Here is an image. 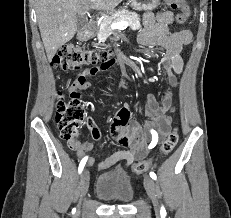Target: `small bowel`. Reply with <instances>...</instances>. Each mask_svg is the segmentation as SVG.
<instances>
[{
	"label": "small bowel",
	"mask_w": 231,
	"mask_h": 218,
	"mask_svg": "<svg viewBox=\"0 0 231 218\" xmlns=\"http://www.w3.org/2000/svg\"><path fill=\"white\" fill-rule=\"evenodd\" d=\"M173 20L174 15L169 11L156 14L146 13L144 15L145 30L139 35L138 41L142 46L160 47L165 50L160 64L169 76L170 85L176 87L177 77L182 73L184 65L181 51L184 46L191 42L192 34L188 30L171 32L170 26ZM100 65L78 69L79 75L74 80L72 87L87 89L90 86L87 77L104 73V70L113 65V60H103ZM173 111V93L171 91L162 94L161 102L157 100L154 93L147 96L145 105V114L148 117L147 129L150 132L152 128L156 129L161 137L158 142L167 134L171 125V117L166 113ZM129 115V106L124 104L118 109L110 127L112 137L120 144L128 146V150H119L102 161L96 162L88 155V152L93 148L91 142L76 140L70 143V147L76 151L79 157H87L89 165H95L99 169H108L121 161L124 162L125 166L130 165L135 159L146 154L149 142L146 136L139 135L140 127L137 123H128ZM88 127L92 138L99 142L101 139L99 129L92 122L88 123Z\"/></svg>",
	"instance_id": "c3829d8e"
}]
</instances>
